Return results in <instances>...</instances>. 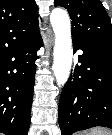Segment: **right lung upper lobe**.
I'll use <instances>...</instances> for the list:
<instances>
[{
  "mask_svg": "<svg viewBox=\"0 0 112 135\" xmlns=\"http://www.w3.org/2000/svg\"><path fill=\"white\" fill-rule=\"evenodd\" d=\"M39 34L34 0H0V56Z\"/></svg>",
  "mask_w": 112,
  "mask_h": 135,
  "instance_id": "obj_1",
  "label": "right lung upper lobe"
}]
</instances>
